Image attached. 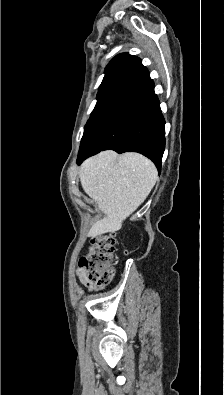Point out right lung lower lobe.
<instances>
[{"mask_svg":"<svg viewBox=\"0 0 224 395\" xmlns=\"http://www.w3.org/2000/svg\"><path fill=\"white\" fill-rule=\"evenodd\" d=\"M165 120L154 83L137 57L127 61L88 120L78 153L80 164L103 150L138 152L161 170Z\"/></svg>","mask_w":224,"mask_h":395,"instance_id":"1","label":"right lung lower lobe"}]
</instances>
